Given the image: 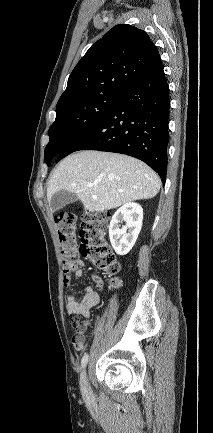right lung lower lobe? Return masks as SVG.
<instances>
[{
  "mask_svg": "<svg viewBox=\"0 0 213 433\" xmlns=\"http://www.w3.org/2000/svg\"><path fill=\"white\" fill-rule=\"evenodd\" d=\"M169 109V86L159 59L98 123L58 155L57 162L78 150L122 153L144 161L165 183Z\"/></svg>",
  "mask_w": 213,
  "mask_h": 433,
  "instance_id": "right-lung-lower-lobe-1",
  "label": "right lung lower lobe"
}]
</instances>
